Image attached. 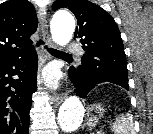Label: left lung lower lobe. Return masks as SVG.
I'll return each instance as SVG.
<instances>
[{
	"mask_svg": "<svg viewBox=\"0 0 153 134\" xmlns=\"http://www.w3.org/2000/svg\"><path fill=\"white\" fill-rule=\"evenodd\" d=\"M70 79L73 81L74 85L77 87L75 90L76 95L85 98L87 94L95 88L97 85L107 82L104 79H101L98 76H90L83 74L79 70L71 67L69 69ZM126 90H129V87H123Z\"/></svg>",
	"mask_w": 153,
	"mask_h": 134,
	"instance_id": "0a47b994",
	"label": "left lung lower lobe"
}]
</instances>
